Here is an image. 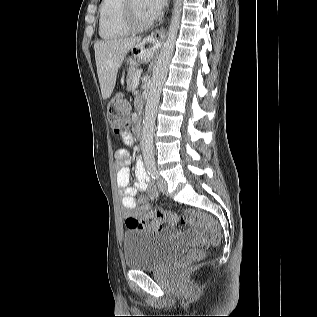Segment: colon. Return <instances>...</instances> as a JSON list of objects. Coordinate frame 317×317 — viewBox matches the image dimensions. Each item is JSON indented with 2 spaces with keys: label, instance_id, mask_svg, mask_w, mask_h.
<instances>
[{
  "label": "colon",
  "instance_id": "1",
  "mask_svg": "<svg viewBox=\"0 0 317 317\" xmlns=\"http://www.w3.org/2000/svg\"><path fill=\"white\" fill-rule=\"evenodd\" d=\"M107 116L111 128L115 133H121L128 123L130 116V106L126 97L122 93L115 94L107 106ZM155 219L158 222L174 224L178 221H201L207 226V230L201 235L199 242L193 247L177 264V268L184 270L192 264L199 262L205 255L206 250L219 243L221 238L220 229L213 218L203 212H190L181 217L163 211H155ZM143 219L130 216L126 219V226L130 229H141L146 227Z\"/></svg>",
  "mask_w": 317,
  "mask_h": 317
}]
</instances>
